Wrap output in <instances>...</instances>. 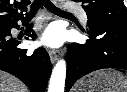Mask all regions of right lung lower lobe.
Segmentation results:
<instances>
[{"label": "right lung lower lobe", "instance_id": "obj_1", "mask_svg": "<svg viewBox=\"0 0 127 92\" xmlns=\"http://www.w3.org/2000/svg\"><path fill=\"white\" fill-rule=\"evenodd\" d=\"M17 21L0 26V70L18 77L33 92H44L51 74L49 55L44 48H39L30 55L27 54V49L17 47L20 41L11 37V29L19 28ZM31 28L32 25L28 26L25 34L35 38Z\"/></svg>", "mask_w": 127, "mask_h": 92}]
</instances>
